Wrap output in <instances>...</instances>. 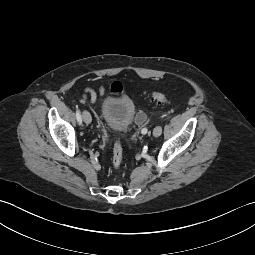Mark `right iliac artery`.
<instances>
[{
	"label": "right iliac artery",
	"mask_w": 255,
	"mask_h": 255,
	"mask_svg": "<svg viewBox=\"0 0 255 255\" xmlns=\"http://www.w3.org/2000/svg\"><path fill=\"white\" fill-rule=\"evenodd\" d=\"M76 118H77L78 123L81 124L82 118H81V113L78 109L76 110Z\"/></svg>",
	"instance_id": "obj_1"
}]
</instances>
